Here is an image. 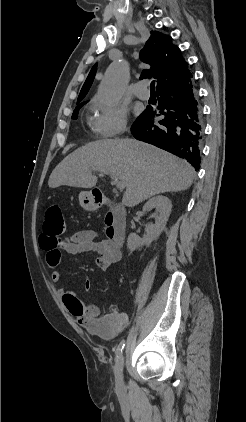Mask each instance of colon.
<instances>
[{
	"label": "colon",
	"mask_w": 246,
	"mask_h": 422,
	"mask_svg": "<svg viewBox=\"0 0 246 422\" xmlns=\"http://www.w3.org/2000/svg\"><path fill=\"white\" fill-rule=\"evenodd\" d=\"M65 228L64 217L58 204H51L45 212L44 231L50 235L58 236Z\"/></svg>",
	"instance_id": "1"
}]
</instances>
